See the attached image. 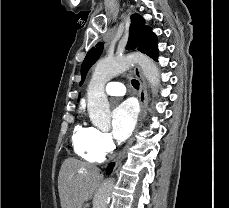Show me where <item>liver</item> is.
I'll use <instances>...</instances> for the list:
<instances>
[{
	"label": "liver",
	"mask_w": 229,
	"mask_h": 208,
	"mask_svg": "<svg viewBox=\"0 0 229 208\" xmlns=\"http://www.w3.org/2000/svg\"><path fill=\"white\" fill-rule=\"evenodd\" d=\"M102 178L99 168L89 162L65 160L58 178L61 208H82L84 202L91 200Z\"/></svg>",
	"instance_id": "liver-1"
}]
</instances>
